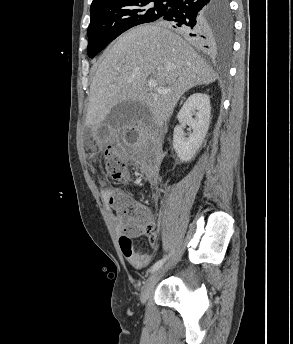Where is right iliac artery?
Returning a JSON list of instances; mask_svg holds the SVG:
<instances>
[{
	"label": "right iliac artery",
	"mask_w": 293,
	"mask_h": 344,
	"mask_svg": "<svg viewBox=\"0 0 293 344\" xmlns=\"http://www.w3.org/2000/svg\"><path fill=\"white\" fill-rule=\"evenodd\" d=\"M167 257L166 258H163L159 261H157L150 269V273H154L155 271H157L162 265L163 263L166 261Z\"/></svg>",
	"instance_id": "82829eb1"
}]
</instances>
